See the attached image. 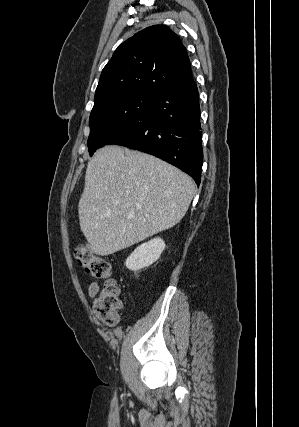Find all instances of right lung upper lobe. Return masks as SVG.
Returning a JSON list of instances; mask_svg holds the SVG:
<instances>
[{"label":"right lung upper lobe","instance_id":"obj_1","mask_svg":"<svg viewBox=\"0 0 299 427\" xmlns=\"http://www.w3.org/2000/svg\"><path fill=\"white\" fill-rule=\"evenodd\" d=\"M193 81L187 50L166 25H153L123 42L102 70L95 102L118 93L151 97Z\"/></svg>","mask_w":299,"mask_h":427}]
</instances>
